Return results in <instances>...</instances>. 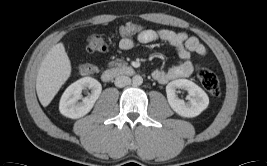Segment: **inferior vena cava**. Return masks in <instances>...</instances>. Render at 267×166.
<instances>
[{
  "instance_id": "602c4592",
  "label": "inferior vena cava",
  "mask_w": 267,
  "mask_h": 166,
  "mask_svg": "<svg viewBox=\"0 0 267 166\" xmlns=\"http://www.w3.org/2000/svg\"><path fill=\"white\" fill-rule=\"evenodd\" d=\"M131 83V79L128 76H118L115 78L114 84L116 87L122 88Z\"/></svg>"
}]
</instances>
